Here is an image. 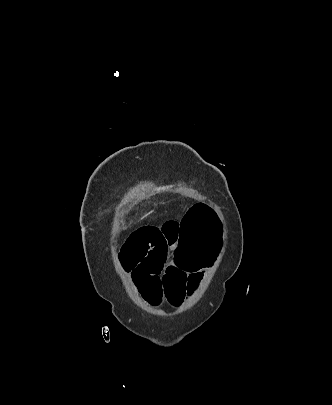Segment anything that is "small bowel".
<instances>
[{"label": "small bowel", "mask_w": 332, "mask_h": 405, "mask_svg": "<svg viewBox=\"0 0 332 405\" xmlns=\"http://www.w3.org/2000/svg\"><path fill=\"white\" fill-rule=\"evenodd\" d=\"M178 221L142 226L131 233L118 252L122 268L131 276L142 302L162 305L163 299L178 307L198 287L201 275H185L174 261L178 240Z\"/></svg>", "instance_id": "small-bowel-1"}]
</instances>
